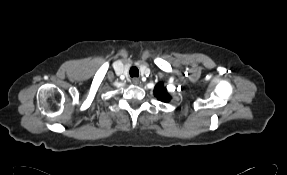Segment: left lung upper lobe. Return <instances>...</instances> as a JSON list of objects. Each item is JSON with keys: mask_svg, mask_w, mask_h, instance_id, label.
<instances>
[{"mask_svg": "<svg viewBox=\"0 0 287 175\" xmlns=\"http://www.w3.org/2000/svg\"><path fill=\"white\" fill-rule=\"evenodd\" d=\"M154 94L157 97V99L168 102L169 101V95L167 93L166 88L163 86L162 83H158L154 88Z\"/></svg>", "mask_w": 287, "mask_h": 175, "instance_id": "5c2ea615", "label": "left lung upper lobe"}]
</instances>
